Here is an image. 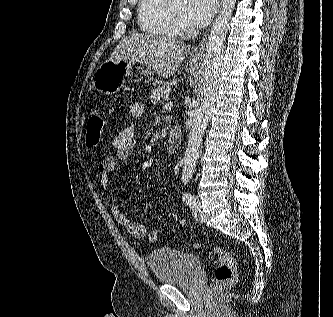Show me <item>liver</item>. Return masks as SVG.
I'll use <instances>...</instances> for the list:
<instances>
[{"mask_svg": "<svg viewBox=\"0 0 333 317\" xmlns=\"http://www.w3.org/2000/svg\"><path fill=\"white\" fill-rule=\"evenodd\" d=\"M190 46L171 37L133 33L124 38L110 60L139 62L156 74L169 78L178 70Z\"/></svg>", "mask_w": 333, "mask_h": 317, "instance_id": "obj_1", "label": "liver"}]
</instances>
